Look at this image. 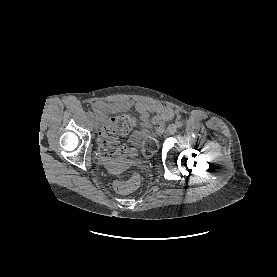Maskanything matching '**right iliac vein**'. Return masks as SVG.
<instances>
[{"mask_svg":"<svg viewBox=\"0 0 277 277\" xmlns=\"http://www.w3.org/2000/svg\"><path fill=\"white\" fill-rule=\"evenodd\" d=\"M93 127L94 129L97 131L98 128H99V125H98V122L94 120V123H93Z\"/></svg>","mask_w":277,"mask_h":277,"instance_id":"1","label":"right iliac vein"}]
</instances>
